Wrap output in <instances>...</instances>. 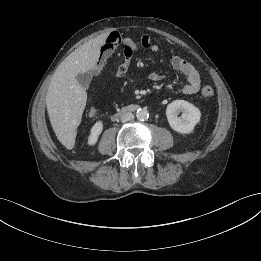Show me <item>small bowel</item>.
I'll return each mask as SVG.
<instances>
[{"label":"small bowel","mask_w":261,"mask_h":261,"mask_svg":"<svg viewBox=\"0 0 261 261\" xmlns=\"http://www.w3.org/2000/svg\"><path fill=\"white\" fill-rule=\"evenodd\" d=\"M118 47L122 48V61L116 71V76L118 78L126 75L130 67L133 55L137 53L141 48L149 50L153 53L159 51V46L153 41L152 37L149 34H142L139 42H135L132 39L120 36L118 33H111L104 40L99 63L94 69L95 74H98L100 72L103 64ZM170 66L174 71H177L184 75L187 80L182 89L183 94L194 95L199 92L201 79L198 71L194 68L192 64L184 60L182 57L174 55L170 59ZM163 78L164 75L159 71H154L150 74V79L153 81H160ZM95 114V109H91L89 111V115L91 117Z\"/></svg>","instance_id":"c3829d8e"}]
</instances>
